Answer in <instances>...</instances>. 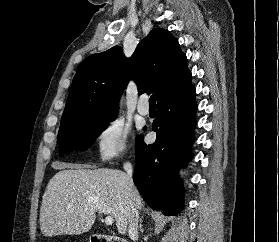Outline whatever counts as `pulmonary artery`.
Listing matches in <instances>:
<instances>
[{
  "mask_svg": "<svg viewBox=\"0 0 279 242\" xmlns=\"http://www.w3.org/2000/svg\"><path fill=\"white\" fill-rule=\"evenodd\" d=\"M137 110L141 115H147L149 113V106L146 105V98L141 97L137 104Z\"/></svg>",
  "mask_w": 279,
  "mask_h": 242,
  "instance_id": "pulmonary-artery-1",
  "label": "pulmonary artery"
}]
</instances>
